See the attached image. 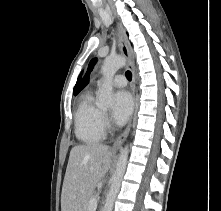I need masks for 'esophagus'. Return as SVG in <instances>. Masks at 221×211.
<instances>
[{"mask_svg": "<svg viewBox=\"0 0 221 211\" xmlns=\"http://www.w3.org/2000/svg\"><path fill=\"white\" fill-rule=\"evenodd\" d=\"M117 30H118V38H119V44L121 47V51H122L123 55L126 57L127 62H128V67L130 68V70L132 72V94H133V100H134V111H133V115H132L131 119L128 122L127 127L125 128L123 133L115 140V142L113 144L114 150L119 149L121 147V145L123 144V142L125 141V139L127 138L128 134L130 132V129H131L133 116L135 114L136 107H137L136 72H135V64H134V55L131 50L130 44L127 40L125 30L120 23L117 24Z\"/></svg>", "mask_w": 221, "mask_h": 211, "instance_id": "34e87169", "label": "esophagus"}]
</instances>
